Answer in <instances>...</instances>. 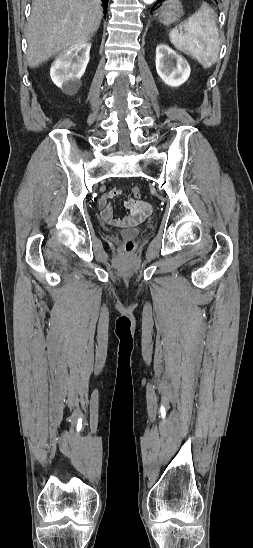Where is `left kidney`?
Segmentation results:
<instances>
[{"instance_id": "obj_1", "label": "left kidney", "mask_w": 253, "mask_h": 548, "mask_svg": "<svg viewBox=\"0 0 253 548\" xmlns=\"http://www.w3.org/2000/svg\"><path fill=\"white\" fill-rule=\"evenodd\" d=\"M156 71L162 81L171 87L183 84L190 75L188 62L168 45L156 47Z\"/></svg>"}]
</instances>
